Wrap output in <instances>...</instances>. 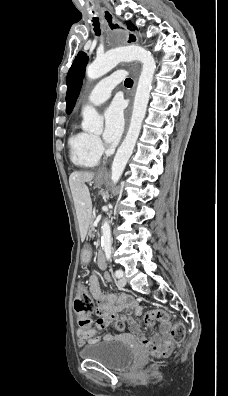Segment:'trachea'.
Instances as JSON below:
<instances>
[{
  "label": "trachea",
  "mask_w": 228,
  "mask_h": 396,
  "mask_svg": "<svg viewBox=\"0 0 228 396\" xmlns=\"http://www.w3.org/2000/svg\"><path fill=\"white\" fill-rule=\"evenodd\" d=\"M93 26H94V32L97 36H100L101 30H100V23H99V18L98 17H93L92 18ZM125 86H132L133 80L130 78L125 79L124 82Z\"/></svg>",
  "instance_id": "obj_1"
}]
</instances>
